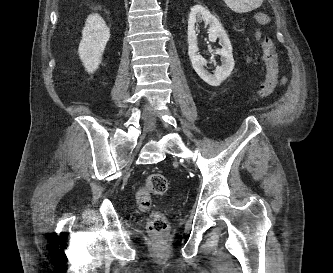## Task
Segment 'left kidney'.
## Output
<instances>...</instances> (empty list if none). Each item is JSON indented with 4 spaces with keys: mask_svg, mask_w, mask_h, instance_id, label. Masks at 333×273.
Segmentation results:
<instances>
[{
    "mask_svg": "<svg viewBox=\"0 0 333 273\" xmlns=\"http://www.w3.org/2000/svg\"><path fill=\"white\" fill-rule=\"evenodd\" d=\"M204 21L209 24V41L215 42L219 38L221 49L216 50V54L221 56L222 65L217 66L214 75L208 74L204 69L207 61L199 55L197 46V34L195 24ZM188 54L192 66L201 79L211 86H219L231 74L235 62L232 54V46L228 35L218 19L213 16L207 8L202 5H194L191 8L188 19Z\"/></svg>",
    "mask_w": 333,
    "mask_h": 273,
    "instance_id": "5707ae66",
    "label": "left kidney"
}]
</instances>
